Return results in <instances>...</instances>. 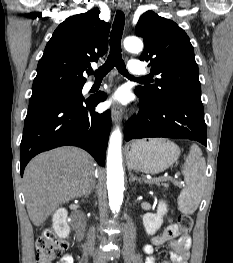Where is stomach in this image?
I'll list each match as a JSON object with an SVG mask.
<instances>
[{"label": "stomach", "mask_w": 233, "mask_h": 263, "mask_svg": "<svg viewBox=\"0 0 233 263\" xmlns=\"http://www.w3.org/2000/svg\"><path fill=\"white\" fill-rule=\"evenodd\" d=\"M180 156L179 147L167 139L136 140L126 153L130 169L156 174L173 165Z\"/></svg>", "instance_id": "1"}]
</instances>
